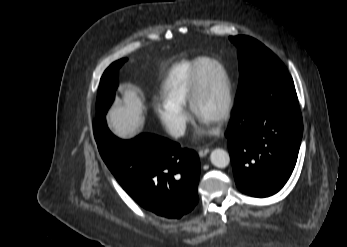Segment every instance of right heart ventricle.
I'll return each instance as SVG.
<instances>
[{"mask_svg":"<svg viewBox=\"0 0 347 247\" xmlns=\"http://www.w3.org/2000/svg\"><path fill=\"white\" fill-rule=\"evenodd\" d=\"M203 58L180 62L168 72L161 88L165 101L186 106L193 71L202 62Z\"/></svg>","mask_w":347,"mask_h":247,"instance_id":"1","label":"right heart ventricle"}]
</instances>
